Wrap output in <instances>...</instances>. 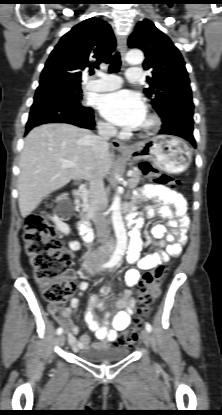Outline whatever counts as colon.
Instances as JSON below:
<instances>
[{
	"label": "colon",
	"instance_id": "1",
	"mask_svg": "<svg viewBox=\"0 0 222 415\" xmlns=\"http://www.w3.org/2000/svg\"><path fill=\"white\" fill-rule=\"evenodd\" d=\"M143 174L156 184L177 187L179 181L161 173L156 168L144 164ZM53 204L51 198L45 202V210L32 213L25 220V250L29 257L34 277L42 289L44 299L53 304H63L73 293L74 285L65 277L72 264L70 252L63 248L59 232L47 219V209ZM166 274V267L160 265L146 271L138 284V313L142 317L149 314L151 304L159 295L158 285ZM140 325L129 329L119 339L121 345H131L139 337Z\"/></svg>",
	"mask_w": 222,
	"mask_h": 415
}]
</instances>
